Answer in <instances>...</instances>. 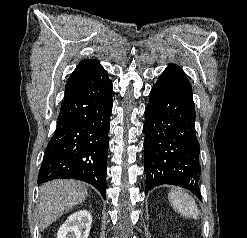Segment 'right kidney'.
<instances>
[{"mask_svg": "<svg viewBox=\"0 0 247 238\" xmlns=\"http://www.w3.org/2000/svg\"><path fill=\"white\" fill-rule=\"evenodd\" d=\"M92 216L87 210H81L68 217L59 228L57 238H88Z\"/></svg>", "mask_w": 247, "mask_h": 238, "instance_id": "right-kidney-1", "label": "right kidney"}]
</instances>
